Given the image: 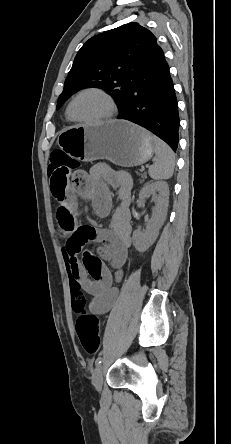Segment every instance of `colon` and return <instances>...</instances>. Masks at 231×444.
Instances as JSON below:
<instances>
[{
  "label": "colon",
  "mask_w": 231,
  "mask_h": 444,
  "mask_svg": "<svg viewBox=\"0 0 231 444\" xmlns=\"http://www.w3.org/2000/svg\"><path fill=\"white\" fill-rule=\"evenodd\" d=\"M79 162L60 150H55L50 155L48 168L50 179L57 185L69 182L78 172ZM80 235L93 234L91 227H80ZM71 299L74 310L77 313L76 330L83 349L88 354H95L101 340V327L99 319L87 312L86 298L78 284L71 286Z\"/></svg>",
  "instance_id": "colon-1"
}]
</instances>
